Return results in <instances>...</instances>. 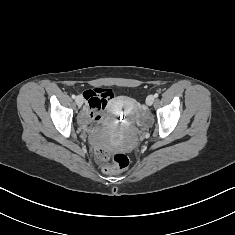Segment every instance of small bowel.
Wrapping results in <instances>:
<instances>
[{
    "instance_id": "obj_1",
    "label": "small bowel",
    "mask_w": 235,
    "mask_h": 235,
    "mask_svg": "<svg viewBox=\"0 0 235 235\" xmlns=\"http://www.w3.org/2000/svg\"><path fill=\"white\" fill-rule=\"evenodd\" d=\"M106 90L87 89L82 96L85 99V107L80 113V120L84 125L91 123L109 124L113 121V115L123 107L130 105L127 97L121 96L117 99H109L105 105L101 103L102 95ZM108 109V111H106Z\"/></svg>"
}]
</instances>
